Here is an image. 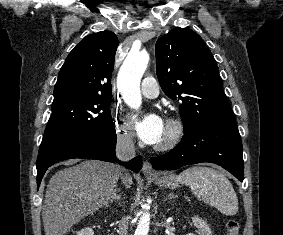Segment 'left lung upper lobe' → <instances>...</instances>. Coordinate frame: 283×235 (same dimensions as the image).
Returning a JSON list of instances; mask_svg holds the SVG:
<instances>
[{
    "label": "left lung upper lobe",
    "mask_w": 283,
    "mask_h": 235,
    "mask_svg": "<svg viewBox=\"0 0 283 235\" xmlns=\"http://www.w3.org/2000/svg\"><path fill=\"white\" fill-rule=\"evenodd\" d=\"M155 51L160 86L179 102L185 134L236 122L216 61L197 33L176 27L157 40Z\"/></svg>",
    "instance_id": "obj_1"
}]
</instances>
